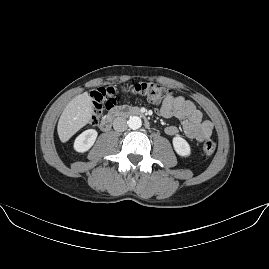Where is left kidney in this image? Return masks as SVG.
Listing matches in <instances>:
<instances>
[{"label": "left kidney", "instance_id": "left-kidney-1", "mask_svg": "<svg viewBox=\"0 0 269 269\" xmlns=\"http://www.w3.org/2000/svg\"><path fill=\"white\" fill-rule=\"evenodd\" d=\"M173 144L176 151L181 155H187L190 151L188 143L180 137L174 138Z\"/></svg>", "mask_w": 269, "mask_h": 269}]
</instances>
